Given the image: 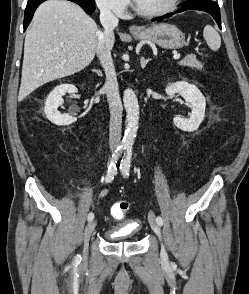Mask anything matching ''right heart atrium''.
Listing matches in <instances>:
<instances>
[{
  "label": "right heart atrium",
  "mask_w": 249,
  "mask_h": 294,
  "mask_svg": "<svg viewBox=\"0 0 249 294\" xmlns=\"http://www.w3.org/2000/svg\"><path fill=\"white\" fill-rule=\"evenodd\" d=\"M98 8L116 16H123L128 8V0H95Z\"/></svg>",
  "instance_id": "right-heart-atrium-1"
}]
</instances>
